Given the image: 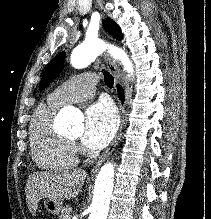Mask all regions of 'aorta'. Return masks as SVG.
Segmentation results:
<instances>
[{
	"label": "aorta",
	"instance_id": "obj_1",
	"mask_svg": "<svg viewBox=\"0 0 211 219\" xmlns=\"http://www.w3.org/2000/svg\"><path fill=\"white\" fill-rule=\"evenodd\" d=\"M102 47L98 41H85L71 53V65L80 69L89 65L101 53ZM114 58L119 59L129 76L133 74V65L126 53L120 49L112 51ZM61 119L69 126L70 132L74 135H82L84 132L83 118L79 111L72 107L62 109ZM114 165L107 163L101 167L96 177L93 202L89 219H107L109 212L110 198L114 183Z\"/></svg>",
	"mask_w": 211,
	"mask_h": 219
}]
</instances>
